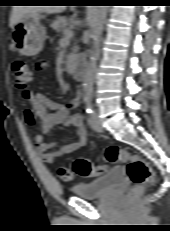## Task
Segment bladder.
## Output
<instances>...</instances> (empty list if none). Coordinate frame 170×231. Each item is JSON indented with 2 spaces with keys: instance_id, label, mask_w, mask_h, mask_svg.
Instances as JSON below:
<instances>
[{
  "instance_id": "bladder-1",
  "label": "bladder",
  "mask_w": 170,
  "mask_h": 231,
  "mask_svg": "<svg viewBox=\"0 0 170 231\" xmlns=\"http://www.w3.org/2000/svg\"><path fill=\"white\" fill-rule=\"evenodd\" d=\"M126 172L123 167H114L106 174L89 182L80 183L71 188L75 196L85 199L101 198L124 182Z\"/></svg>"
}]
</instances>
